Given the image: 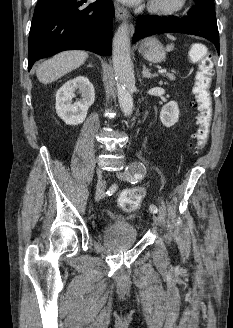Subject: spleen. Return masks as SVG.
<instances>
[{
  "label": "spleen",
  "instance_id": "obj_1",
  "mask_svg": "<svg viewBox=\"0 0 233 328\" xmlns=\"http://www.w3.org/2000/svg\"><path fill=\"white\" fill-rule=\"evenodd\" d=\"M166 49H167V51H171V50L174 49V45L173 44L167 45ZM193 51L194 52H197L198 51V47H193Z\"/></svg>",
  "mask_w": 233,
  "mask_h": 328
}]
</instances>
